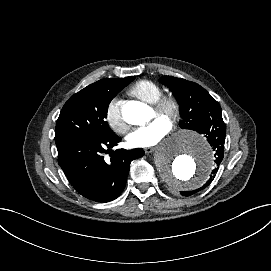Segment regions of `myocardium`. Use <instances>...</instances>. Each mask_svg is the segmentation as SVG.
Here are the masks:
<instances>
[{
	"instance_id": "obj_1",
	"label": "myocardium",
	"mask_w": 271,
	"mask_h": 271,
	"mask_svg": "<svg viewBox=\"0 0 271 271\" xmlns=\"http://www.w3.org/2000/svg\"><path fill=\"white\" fill-rule=\"evenodd\" d=\"M153 109L158 116L167 120L172 126L176 125L182 116V103L173 94L161 96L154 103Z\"/></svg>"
}]
</instances>
